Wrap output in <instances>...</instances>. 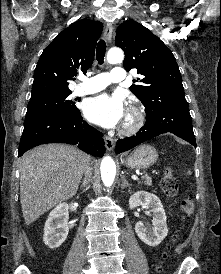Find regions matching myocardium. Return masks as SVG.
I'll return each instance as SVG.
<instances>
[{
  "label": "myocardium",
  "instance_id": "f54148a6",
  "mask_svg": "<svg viewBox=\"0 0 221 274\" xmlns=\"http://www.w3.org/2000/svg\"><path fill=\"white\" fill-rule=\"evenodd\" d=\"M145 122V113L141 107L131 104L128 107L127 115L122 125V132L125 134H133L137 132Z\"/></svg>",
  "mask_w": 221,
  "mask_h": 274
}]
</instances>
